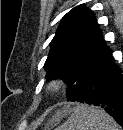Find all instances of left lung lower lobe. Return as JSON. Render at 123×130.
<instances>
[{"instance_id": "1", "label": "left lung lower lobe", "mask_w": 123, "mask_h": 130, "mask_svg": "<svg viewBox=\"0 0 123 130\" xmlns=\"http://www.w3.org/2000/svg\"><path fill=\"white\" fill-rule=\"evenodd\" d=\"M108 49L88 74L77 102L99 106L123 127V78Z\"/></svg>"}]
</instances>
